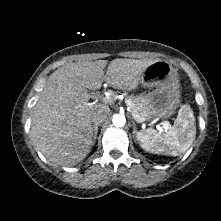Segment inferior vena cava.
Listing matches in <instances>:
<instances>
[{
	"instance_id": "obj_1",
	"label": "inferior vena cava",
	"mask_w": 221,
	"mask_h": 221,
	"mask_svg": "<svg viewBox=\"0 0 221 221\" xmlns=\"http://www.w3.org/2000/svg\"><path fill=\"white\" fill-rule=\"evenodd\" d=\"M107 117L105 107H98L91 115V120L95 124H100Z\"/></svg>"
}]
</instances>
